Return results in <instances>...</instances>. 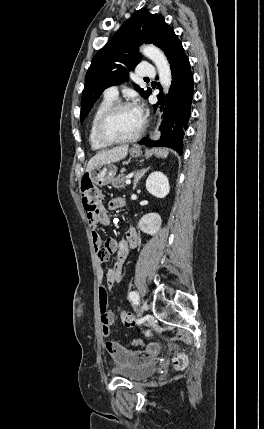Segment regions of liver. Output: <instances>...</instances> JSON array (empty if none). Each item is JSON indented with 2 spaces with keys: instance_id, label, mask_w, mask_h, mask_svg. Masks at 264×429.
Here are the masks:
<instances>
[{
  "instance_id": "6515ba94",
  "label": "liver",
  "mask_w": 264,
  "mask_h": 429,
  "mask_svg": "<svg viewBox=\"0 0 264 429\" xmlns=\"http://www.w3.org/2000/svg\"><path fill=\"white\" fill-rule=\"evenodd\" d=\"M128 148V145H122L97 153L89 160L86 171L89 172L92 168L98 165L118 162L124 159L127 156Z\"/></svg>"
}]
</instances>
